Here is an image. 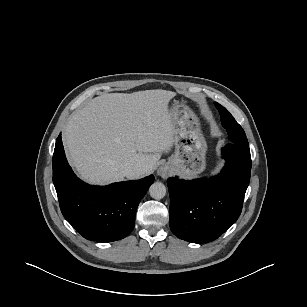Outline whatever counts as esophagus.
Segmentation results:
<instances>
[{
	"label": "esophagus",
	"instance_id": "34e87169",
	"mask_svg": "<svg viewBox=\"0 0 307 307\" xmlns=\"http://www.w3.org/2000/svg\"><path fill=\"white\" fill-rule=\"evenodd\" d=\"M171 174V169L167 164H164L159 167L157 170V175L162 178H167Z\"/></svg>",
	"mask_w": 307,
	"mask_h": 307
}]
</instances>
